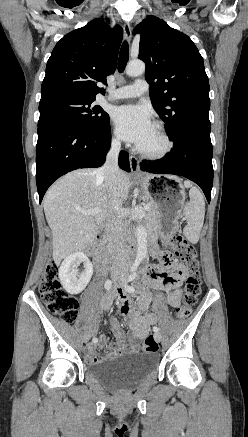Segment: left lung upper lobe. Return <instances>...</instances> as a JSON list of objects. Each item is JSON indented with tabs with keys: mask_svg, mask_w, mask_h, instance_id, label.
Returning a JSON list of instances; mask_svg holds the SVG:
<instances>
[{
	"mask_svg": "<svg viewBox=\"0 0 248 437\" xmlns=\"http://www.w3.org/2000/svg\"><path fill=\"white\" fill-rule=\"evenodd\" d=\"M139 59L145 62L152 105L174 137L186 125L209 121V81L192 40L165 21L148 16L136 26Z\"/></svg>",
	"mask_w": 248,
	"mask_h": 437,
	"instance_id": "left-lung-upper-lobe-1",
	"label": "left lung upper lobe"
}]
</instances>
